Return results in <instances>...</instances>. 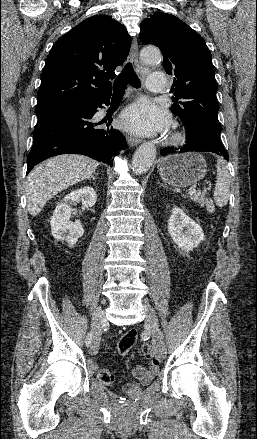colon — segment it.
Segmentation results:
<instances>
[{
	"label": "colon",
	"instance_id": "colon-1",
	"mask_svg": "<svg viewBox=\"0 0 257 439\" xmlns=\"http://www.w3.org/2000/svg\"><path fill=\"white\" fill-rule=\"evenodd\" d=\"M138 338V332L136 329L131 328L123 333L120 337L117 345V350L120 356H125L136 344ZM143 353L148 358H153L155 355L154 346L147 343L143 346ZM154 364H157V359L153 360ZM94 372L97 374L100 381L104 384H112L114 382V375L105 369L98 368L95 364L92 365ZM124 390L128 393H132L138 390V385L134 382H126L123 386Z\"/></svg>",
	"mask_w": 257,
	"mask_h": 439
}]
</instances>
